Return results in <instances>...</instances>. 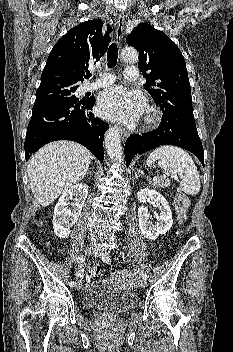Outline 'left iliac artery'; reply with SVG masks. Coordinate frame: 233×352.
<instances>
[{
	"label": "left iliac artery",
	"instance_id": "1",
	"mask_svg": "<svg viewBox=\"0 0 233 352\" xmlns=\"http://www.w3.org/2000/svg\"><path fill=\"white\" fill-rule=\"evenodd\" d=\"M102 260L104 261V262H106V263H111V257H110V255H109V253L108 252H105L104 254H103V256H102ZM141 276H142V278L143 279H147V274H146V272L145 271H141Z\"/></svg>",
	"mask_w": 233,
	"mask_h": 352
}]
</instances>
